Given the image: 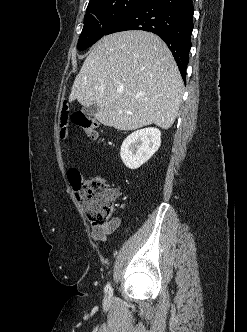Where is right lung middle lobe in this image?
Masks as SVG:
<instances>
[{"instance_id":"right-lung-middle-lobe-1","label":"right lung middle lobe","mask_w":247,"mask_h":332,"mask_svg":"<svg viewBox=\"0 0 247 332\" xmlns=\"http://www.w3.org/2000/svg\"><path fill=\"white\" fill-rule=\"evenodd\" d=\"M147 0H99L88 5L84 26L78 40V49L84 50L106 35L108 29L121 17Z\"/></svg>"}]
</instances>
